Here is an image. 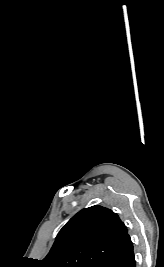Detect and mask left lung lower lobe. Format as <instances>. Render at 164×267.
<instances>
[{
    "label": "left lung lower lobe",
    "instance_id": "obj_1",
    "mask_svg": "<svg viewBox=\"0 0 164 267\" xmlns=\"http://www.w3.org/2000/svg\"><path fill=\"white\" fill-rule=\"evenodd\" d=\"M101 267H136L133 245L128 233L125 234Z\"/></svg>",
    "mask_w": 164,
    "mask_h": 267
}]
</instances>
